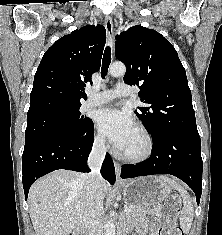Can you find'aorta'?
<instances>
[{
    "label": "aorta",
    "mask_w": 222,
    "mask_h": 235,
    "mask_svg": "<svg viewBox=\"0 0 222 235\" xmlns=\"http://www.w3.org/2000/svg\"><path fill=\"white\" fill-rule=\"evenodd\" d=\"M125 72H126V67L123 63H120V62L113 63L109 67V73L111 76H114V77L123 76L125 74ZM104 234L105 235H115V224H114V220L112 218L107 220V222L105 223Z\"/></svg>",
    "instance_id": "aorta-1"
}]
</instances>
